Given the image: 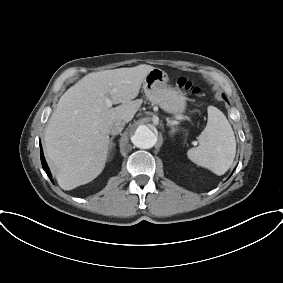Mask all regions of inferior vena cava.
I'll return each mask as SVG.
<instances>
[{
	"label": "inferior vena cava",
	"mask_w": 283,
	"mask_h": 283,
	"mask_svg": "<svg viewBox=\"0 0 283 283\" xmlns=\"http://www.w3.org/2000/svg\"><path fill=\"white\" fill-rule=\"evenodd\" d=\"M125 126V121L118 120L115 123H113L110 127V134L111 135H117L119 134Z\"/></svg>",
	"instance_id": "inferior-vena-cava-1"
}]
</instances>
